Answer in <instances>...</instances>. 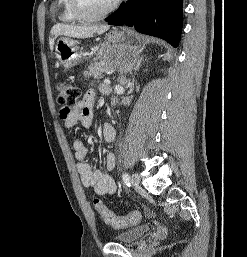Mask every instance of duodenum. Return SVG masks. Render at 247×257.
<instances>
[{"instance_id":"duodenum-1","label":"duodenum","mask_w":247,"mask_h":257,"mask_svg":"<svg viewBox=\"0 0 247 257\" xmlns=\"http://www.w3.org/2000/svg\"><path fill=\"white\" fill-rule=\"evenodd\" d=\"M102 93L105 95H110L111 87L108 84H104L102 87Z\"/></svg>"}]
</instances>
